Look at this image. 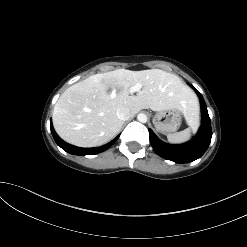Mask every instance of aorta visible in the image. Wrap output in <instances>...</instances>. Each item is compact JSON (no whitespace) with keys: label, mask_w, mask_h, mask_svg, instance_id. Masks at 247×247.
<instances>
[{"label":"aorta","mask_w":247,"mask_h":247,"mask_svg":"<svg viewBox=\"0 0 247 247\" xmlns=\"http://www.w3.org/2000/svg\"><path fill=\"white\" fill-rule=\"evenodd\" d=\"M137 119L141 123H146L148 120L147 116L144 113H139Z\"/></svg>","instance_id":"762f6f07"}]
</instances>
